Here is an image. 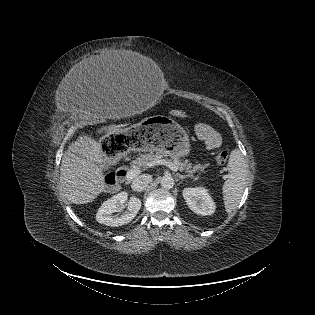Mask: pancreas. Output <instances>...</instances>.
Listing matches in <instances>:
<instances>
[{"label": "pancreas", "instance_id": "1", "mask_svg": "<svg viewBox=\"0 0 315 315\" xmlns=\"http://www.w3.org/2000/svg\"><path fill=\"white\" fill-rule=\"evenodd\" d=\"M164 156H168V154L165 152H151L149 154L141 155L139 158L134 160L132 164L133 166L145 167ZM171 162L176 165L180 171H185L190 176H192L193 173L204 170L209 166L208 163H205L204 165L196 164L192 166V163L188 162V160L183 161L178 156H171Z\"/></svg>", "mask_w": 315, "mask_h": 315}]
</instances>
